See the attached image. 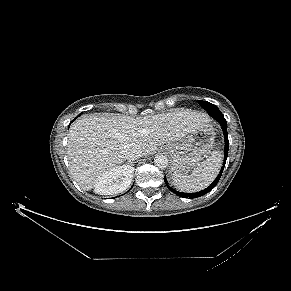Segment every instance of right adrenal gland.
Listing matches in <instances>:
<instances>
[{
	"mask_svg": "<svg viewBox=\"0 0 291 291\" xmlns=\"http://www.w3.org/2000/svg\"><path fill=\"white\" fill-rule=\"evenodd\" d=\"M132 163H134V162H132V161H129V162H128V165H129V164H132Z\"/></svg>",
	"mask_w": 291,
	"mask_h": 291,
	"instance_id": "right-adrenal-gland-1",
	"label": "right adrenal gland"
}]
</instances>
